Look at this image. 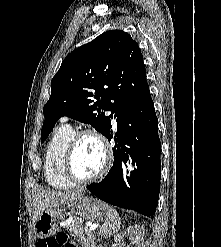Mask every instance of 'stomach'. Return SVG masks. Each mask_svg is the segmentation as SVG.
<instances>
[{
    "label": "stomach",
    "mask_w": 221,
    "mask_h": 247,
    "mask_svg": "<svg viewBox=\"0 0 221 247\" xmlns=\"http://www.w3.org/2000/svg\"><path fill=\"white\" fill-rule=\"evenodd\" d=\"M107 206L105 203L88 196H79L67 208L71 214L80 216L82 220L99 221L107 215ZM65 207L46 210L41 213L34 224V232L37 237L46 238L55 234L59 222L67 214Z\"/></svg>",
    "instance_id": "stomach-1"
}]
</instances>
